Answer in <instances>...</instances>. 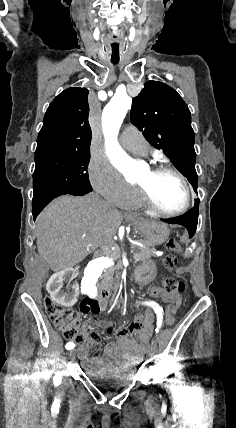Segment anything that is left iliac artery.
Listing matches in <instances>:
<instances>
[{
	"label": "left iliac artery",
	"mask_w": 236,
	"mask_h": 428,
	"mask_svg": "<svg viewBox=\"0 0 236 428\" xmlns=\"http://www.w3.org/2000/svg\"><path fill=\"white\" fill-rule=\"evenodd\" d=\"M87 295H89V297L91 298H95L97 295L96 291H89L86 293ZM146 305L151 306L155 313L157 314V328H156V333L159 332V329L162 325V319H163V309L162 307H160L156 302H145Z\"/></svg>",
	"instance_id": "44dca946"
}]
</instances>
